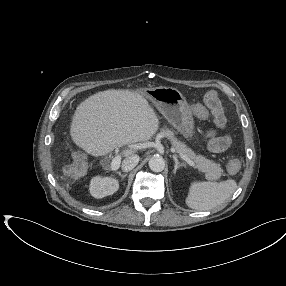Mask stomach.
<instances>
[{
  "label": "stomach",
  "mask_w": 286,
  "mask_h": 286,
  "mask_svg": "<svg viewBox=\"0 0 286 286\" xmlns=\"http://www.w3.org/2000/svg\"><path fill=\"white\" fill-rule=\"evenodd\" d=\"M150 100L165 119L185 138L194 136L192 111L182 93L173 87H154L141 91Z\"/></svg>",
  "instance_id": "1"
}]
</instances>
